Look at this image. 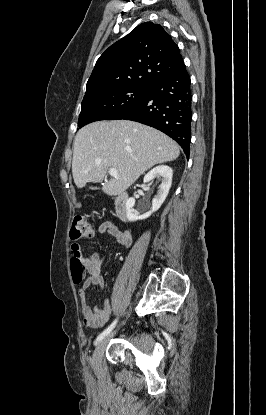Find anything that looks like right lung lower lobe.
Returning <instances> with one entry per match:
<instances>
[{
	"instance_id": "98d812e1",
	"label": "right lung lower lobe",
	"mask_w": 266,
	"mask_h": 415,
	"mask_svg": "<svg viewBox=\"0 0 266 415\" xmlns=\"http://www.w3.org/2000/svg\"><path fill=\"white\" fill-rule=\"evenodd\" d=\"M192 94L186 67L153 83L138 103L110 120H132L154 127L174 139L189 157Z\"/></svg>"
}]
</instances>
